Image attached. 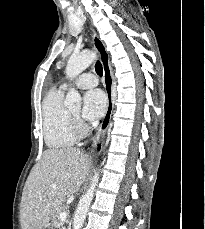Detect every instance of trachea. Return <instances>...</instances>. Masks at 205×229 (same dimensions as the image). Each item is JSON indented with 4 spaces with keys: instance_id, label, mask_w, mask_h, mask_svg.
I'll list each match as a JSON object with an SVG mask.
<instances>
[{
    "instance_id": "1",
    "label": "trachea",
    "mask_w": 205,
    "mask_h": 229,
    "mask_svg": "<svg viewBox=\"0 0 205 229\" xmlns=\"http://www.w3.org/2000/svg\"><path fill=\"white\" fill-rule=\"evenodd\" d=\"M95 71L99 76L103 75L102 64L99 61H97L96 64H95Z\"/></svg>"
}]
</instances>
